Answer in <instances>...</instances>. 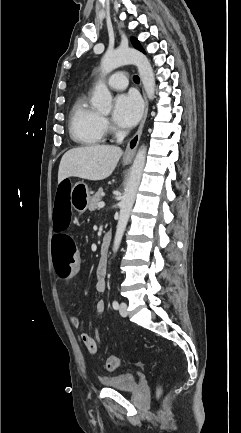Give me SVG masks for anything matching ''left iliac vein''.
<instances>
[{"mask_svg": "<svg viewBox=\"0 0 241 433\" xmlns=\"http://www.w3.org/2000/svg\"><path fill=\"white\" fill-rule=\"evenodd\" d=\"M119 312L121 314V316L126 317L128 312H127V304L125 302H121L120 307H119Z\"/></svg>", "mask_w": 241, "mask_h": 433, "instance_id": "4c4485c4", "label": "left iliac vein"}]
</instances>
